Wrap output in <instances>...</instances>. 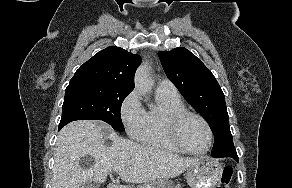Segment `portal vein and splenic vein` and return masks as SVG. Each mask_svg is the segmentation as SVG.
<instances>
[{"label":"portal vein and splenic vein","mask_w":292,"mask_h":188,"mask_svg":"<svg viewBox=\"0 0 292 188\" xmlns=\"http://www.w3.org/2000/svg\"><path fill=\"white\" fill-rule=\"evenodd\" d=\"M113 170L114 171H123L124 169L123 168H114Z\"/></svg>","instance_id":"portal-vein-and-splenic-vein-1"}]
</instances>
